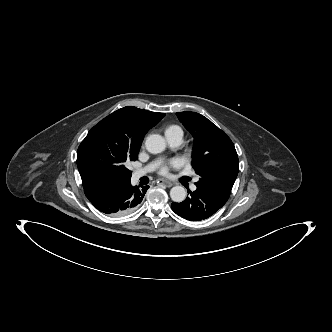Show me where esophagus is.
Wrapping results in <instances>:
<instances>
[{
  "label": "esophagus",
  "mask_w": 332,
  "mask_h": 332,
  "mask_svg": "<svg viewBox=\"0 0 332 332\" xmlns=\"http://www.w3.org/2000/svg\"><path fill=\"white\" fill-rule=\"evenodd\" d=\"M157 183H159V184H163V185H165L166 187H171V186L173 185L172 182H170V181H168V180H166V179H158V180H157Z\"/></svg>",
  "instance_id": "esophagus-1"
}]
</instances>
